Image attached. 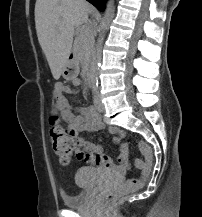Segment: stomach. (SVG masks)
Instances as JSON below:
<instances>
[{
	"label": "stomach",
	"mask_w": 202,
	"mask_h": 217,
	"mask_svg": "<svg viewBox=\"0 0 202 217\" xmlns=\"http://www.w3.org/2000/svg\"><path fill=\"white\" fill-rule=\"evenodd\" d=\"M61 74L65 79L76 78L79 74L78 63L75 60H67Z\"/></svg>",
	"instance_id": "1"
}]
</instances>
